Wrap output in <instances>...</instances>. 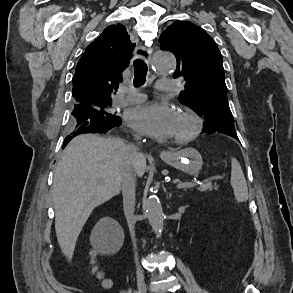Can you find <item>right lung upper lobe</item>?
<instances>
[{"instance_id":"cb5924a9","label":"right lung upper lobe","mask_w":293,"mask_h":293,"mask_svg":"<svg viewBox=\"0 0 293 293\" xmlns=\"http://www.w3.org/2000/svg\"><path fill=\"white\" fill-rule=\"evenodd\" d=\"M129 37L124 25H110L88 45L73 77L76 105L95 108L96 100H111L135 47Z\"/></svg>"}]
</instances>
